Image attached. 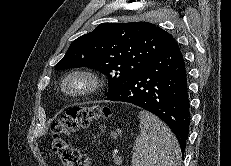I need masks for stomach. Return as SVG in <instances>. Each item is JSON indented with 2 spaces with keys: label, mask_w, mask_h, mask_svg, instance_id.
I'll list each match as a JSON object with an SVG mask.
<instances>
[{
  "label": "stomach",
  "mask_w": 231,
  "mask_h": 166,
  "mask_svg": "<svg viewBox=\"0 0 231 166\" xmlns=\"http://www.w3.org/2000/svg\"><path fill=\"white\" fill-rule=\"evenodd\" d=\"M120 133V131L119 130H116V132H112L111 133V136L113 137V138H116L117 137V135Z\"/></svg>",
  "instance_id": "1"
}]
</instances>
